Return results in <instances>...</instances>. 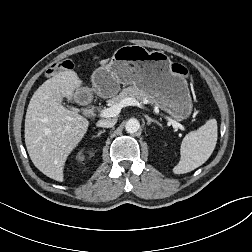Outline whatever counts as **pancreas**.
<instances>
[{
  "label": "pancreas",
  "mask_w": 252,
  "mask_h": 252,
  "mask_svg": "<svg viewBox=\"0 0 252 252\" xmlns=\"http://www.w3.org/2000/svg\"><path fill=\"white\" fill-rule=\"evenodd\" d=\"M125 98H133L136 99L138 102H144L148 100L147 94L140 90L139 88L132 86L123 89L117 96L112 97L107 101L108 105H116L119 104Z\"/></svg>",
  "instance_id": "obj_1"
}]
</instances>
